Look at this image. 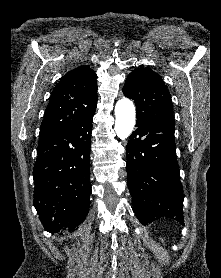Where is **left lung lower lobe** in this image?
<instances>
[{"instance_id":"obj_1","label":"left lung lower lobe","mask_w":221,"mask_h":278,"mask_svg":"<svg viewBox=\"0 0 221 278\" xmlns=\"http://www.w3.org/2000/svg\"><path fill=\"white\" fill-rule=\"evenodd\" d=\"M136 127L126 146L127 184L135 214L144 225L166 217L184 226L175 122L137 120Z\"/></svg>"}]
</instances>
